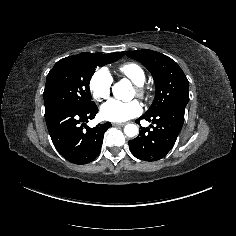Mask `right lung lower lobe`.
Listing matches in <instances>:
<instances>
[{
	"label": "right lung lower lobe",
	"instance_id": "98d812e1",
	"mask_svg": "<svg viewBox=\"0 0 236 236\" xmlns=\"http://www.w3.org/2000/svg\"><path fill=\"white\" fill-rule=\"evenodd\" d=\"M98 112L96 104L85 109L55 108L45 112L47 128L56 150L69 162L86 164L100 153L104 133L110 122L94 128L86 126Z\"/></svg>",
	"mask_w": 236,
	"mask_h": 236
}]
</instances>
